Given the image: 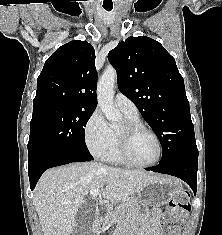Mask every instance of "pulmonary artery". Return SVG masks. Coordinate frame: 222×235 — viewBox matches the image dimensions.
Wrapping results in <instances>:
<instances>
[{
    "label": "pulmonary artery",
    "mask_w": 222,
    "mask_h": 235,
    "mask_svg": "<svg viewBox=\"0 0 222 235\" xmlns=\"http://www.w3.org/2000/svg\"><path fill=\"white\" fill-rule=\"evenodd\" d=\"M115 104L125 114L137 116L138 111L135 104L124 94L117 93L115 95Z\"/></svg>",
    "instance_id": "1"
}]
</instances>
